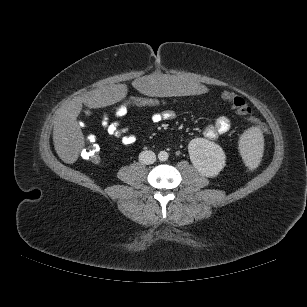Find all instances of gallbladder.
<instances>
[{
    "label": "gallbladder",
    "instance_id": "gallbladder-1",
    "mask_svg": "<svg viewBox=\"0 0 307 307\" xmlns=\"http://www.w3.org/2000/svg\"><path fill=\"white\" fill-rule=\"evenodd\" d=\"M84 112H85L86 116H90L91 115V112L89 110H87V109Z\"/></svg>",
    "mask_w": 307,
    "mask_h": 307
}]
</instances>
